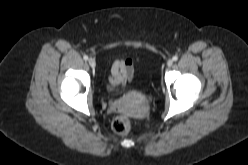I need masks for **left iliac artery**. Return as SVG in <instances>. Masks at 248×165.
Returning a JSON list of instances; mask_svg holds the SVG:
<instances>
[{
	"instance_id": "obj_1",
	"label": "left iliac artery",
	"mask_w": 248,
	"mask_h": 165,
	"mask_svg": "<svg viewBox=\"0 0 248 165\" xmlns=\"http://www.w3.org/2000/svg\"><path fill=\"white\" fill-rule=\"evenodd\" d=\"M174 61H177L178 60V56H173V58H172Z\"/></svg>"
}]
</instances>
